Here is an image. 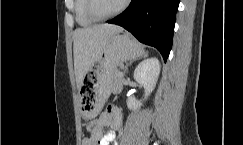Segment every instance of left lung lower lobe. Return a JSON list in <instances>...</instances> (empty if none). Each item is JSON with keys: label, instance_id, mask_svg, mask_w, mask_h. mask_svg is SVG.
Listing matches in <instances>:
<instances>
[{"label": "left lung lower lobe", "instance_id": "1", "mask_svg": "<svg viewBox=\"0 0 243 145\" xmlns=\"http://www.w3.org/2000/svg\"><path fill=\"white\" fill-rule=\"evenodd\" d=\"M178 6L179 0H132L124 12L108 23L124 27L140 42L157 48L166 62Z\"/></svg>", "mask_w": 243, "mask_h": 145}]
</instances>
